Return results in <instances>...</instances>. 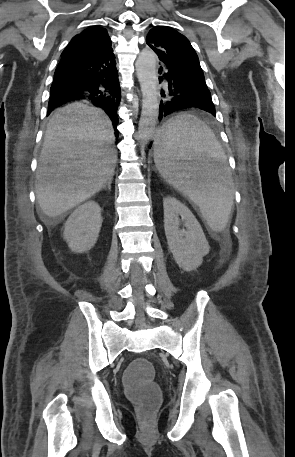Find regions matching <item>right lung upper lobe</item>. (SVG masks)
Instances as JSON below:
<instances>
[{"instance_id":"1","label":"right lung upper lobe","mask_w":295,"mask_h":457,"mask_svg":"<svg viewBox=\"0 0 295 457\" xmlns=\"http://www.w3.org/2000/svg\"><path fill=\"white\" fill-rule=\"evenodd\" d=\"M109 49L111 40L107 30L97 26L90 27L72 38L62 52L60 62L96 57Z\"/></svg>"}]
</instances>
